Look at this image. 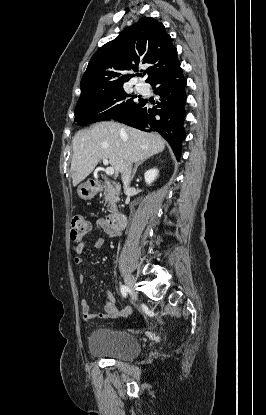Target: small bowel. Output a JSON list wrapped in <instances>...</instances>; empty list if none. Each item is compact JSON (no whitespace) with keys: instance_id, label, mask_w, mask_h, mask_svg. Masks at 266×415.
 <instances>
[{"instance_id":"small-bowel-1","label":"small bowel","mask_w":266,"mask_h":415,"mask_svg":"<svg viewBox=\"0 0 266 415\" xmlns=\"http://www.w3.org/2000/svg\"><path fill=\"white\" fill-rule=\"evenodd\" d=\"M96 229L99 232H104L110 237H114L117 235V231H114L110 228H108L105 224V220L100 219L96 222ZM104 244V239L99 237L96 240L90 241V242H83L80 244H77L73 247L74 252V262L77 265L82 264V254L87 246H92L95 248H101ZM79 280L81 283L86 281L85 275H80ZM81 312L82 316L85 321H91L95 319H116L120 316H127L130 313V308L125 307L123 309H118L115 304V299L110 293L105 294V304H104V312L103 313H92L90 311L89 303L86 299L81 300Z\"/></svg>"}]
</instances>
